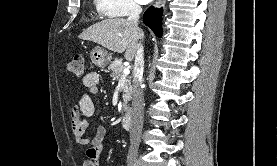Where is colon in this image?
Segmentation results:
<instances>
[{
  "mask_svg": "<svg viewBox=\"0 0 277 166\" xmlns=\"http://www.w3.org/2000/svg\"><path fill=\"white\" fill-rule=\"evenodd\" d=\"M68 70L76 76H82L84 73V58L81 55H75L68 64Z\"/></svg>",
  "mask_w": 277,
  "mask_h": 166,
  "instance_id": "colon-1",
  "label": "colon"
}]
</instances>
